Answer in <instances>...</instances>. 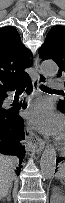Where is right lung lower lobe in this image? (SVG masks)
I'll return each mask as SVG.
<instances>
[{"instance_id": "98d812e1", "label": "right lung lower lobe", "mask_w": 65, "mask_h": 203, "mask_svg": "<svg viewBox=\"0 0 65 203\" xmlns=\"http://www.w3.org/2000/svg\"><path fill=\"white\" fill-rule=\"evenodd\" d=\"M22 85L28 86V92L32 90L30 79L24 81L19 86ZM17 87L0 92V153L6 155H16L20 158V162H22L25 148L20 146L19 141L25 138V134L24 121L19 116V109L26 108V105L20 104L8 109L2 108L3 100L8 96L6 92L12 91ZM16 172L19 174L20 168H18Z\"/></svg>"}]
</instances>
